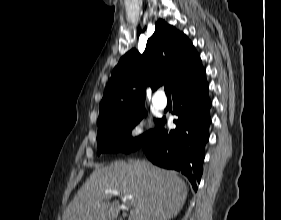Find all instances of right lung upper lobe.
Instances as JSON below:
<instances>
[{
	"label": "right lung upper lobe",
	"mask_w": 281,
	"mask_h": 220,
	"mask_svg": "<svg viewBox=\"0 0 281 220\" xmlns=\"http://www.w3.org/2000/svg\"><path fill=\"white\" fill-rule=\"evenodd\" d=\"M205 79L199 54L182 32L159 19L141 55L132 49L121 57L106 86L98 124L143 109L145 88L171 82L173 93Z\"/></svg>",
	"instance_id": "cb5924a9"
}]
</instances>
